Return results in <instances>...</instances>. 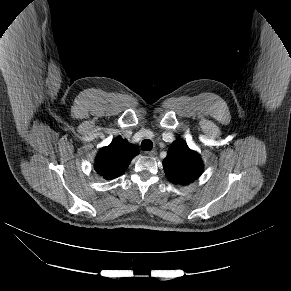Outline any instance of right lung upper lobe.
<instances>
[{
  "label": "right lung upper lobe",
  "instance_id": "cb5924a9",
  "mask_svg": "<svg viewBox=\"0 0 291 291\" xmlns=\"http://www.w3.org/2000/svg\"><path fill=\"white\" fill-rule=\"evenodd\" d=\"M138 153L136 145L117 137L109 146L99 150L95 159V170L104 179L117 178L126 171L131 160Z\"/></svg>",
  "mask_w": 291,
  "mask_h": 291
}]
</instances>
